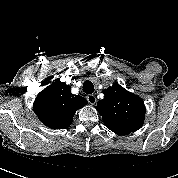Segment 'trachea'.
<instances>
[{"mask_svg": "<svg viewBox=\"0 0 178 178\" xmlns=\"http://www.w3.org/2000/svg\"><path fill=\"white\" fill-rule=\"evenodd\" d=\"M83 91L86 93V94H92L94 92V86H93V83L89 80H86L84 83H83Z\"/></svg>", "mask_w": 178, "mask_h": 178, "instance_id": "obj_1", "label": "trachea"}]
</instances>
